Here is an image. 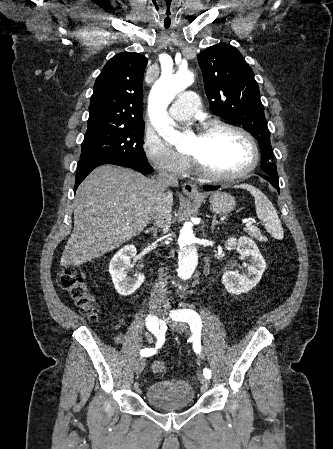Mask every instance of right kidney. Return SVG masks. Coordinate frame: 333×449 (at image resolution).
I'll return each instance as SVG.
<instances>
[{
  "label": "right kidney",
  "instance_id": "ca27d5eb",
  "mask_svg": "<svg viewBox=\"0 0 333 449\" xmlns=\"http://www.w3.org/2000/svg\"><path fill=\"white\" fill-rule=\"evenodd\" d=\"M135 255V246H124L113 256L109 264V272L115 289L122 296L133 294L144 282L143 274H137L134 278L127 277L126 270L130 266V259Z\"/></svg>",
  "mask_w": 333,
  "mask_h": 449
}]
</instances>
